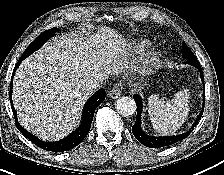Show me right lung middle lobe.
<instances>
[{"instance_id": "obj_1", "label": "right lung middle lobe", "mask_w": 224, "mask_h": 175, "mask_svg": "<svg viewBox=\"0 0 224 175\" xmlns=\"http://www.w3.org/2000/svg\"><path fill=\"white\" fill-rule=\"evenodd\" d=\"M58 28H52L43 32L40 36H38L25 50L22 56H29L34 51L38 50L48 39H50L56 32H58Z\"/></svg>"}]
</instances>
